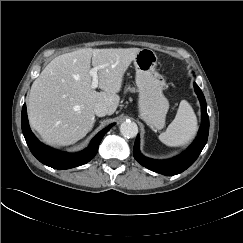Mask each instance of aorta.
Masks as SVG:
<instances>
[{
  "label": "aorta",
  "mask_w": 243,
  "mask_h": 243,
  "mask_svg": "<svg viewBox=\"0 0 243 243\" xmlns=\"http://www.w3.org/2000/svg\"><path fill=\"white\" fill-rule=\"evenodd\" d=\"M120 133L126 138H134L138 133V126L133 121H124L120 125Z\"/></svg>",
  "instance_id": "1"
}]
</instances>
